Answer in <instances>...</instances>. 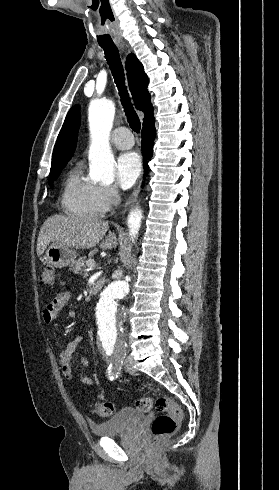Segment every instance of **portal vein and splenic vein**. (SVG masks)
<instances>
[{
    "instance_id": "obj_1",
    "label": "portal vein and splenic vein",
    "mask_w": 279,
    "mask_h": 490,
    "mask_svg": "<svg viewBox=\"0 0 279 490\" xmlns=\"http://www.w3.org/2000/svg\"><path fill=\"white\" fill-rule=\"evenodd\" d=\"M86 266H88V268H95V262H86Z\"/></svg>"
}]
</instances>
